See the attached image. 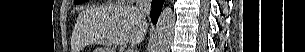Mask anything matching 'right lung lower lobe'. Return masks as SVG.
Listing matches in <instances>:
<instances>
[{"label": "right lung lower lobe", "instance_id": "obj_1", "mask_svg": "<svg viewBox=\"0 0 305 52\" xmlns=\"http://www.w3.org/2000/svg\"><path fill=\"white\" fill-rule=\"evenodd\" d=\"M164 0H153L152 1V10H151V19L154 24L158 20V16L162 10Z\"/></svg>", "mask_w": 305, "mask_h": 52}]
</instances>
